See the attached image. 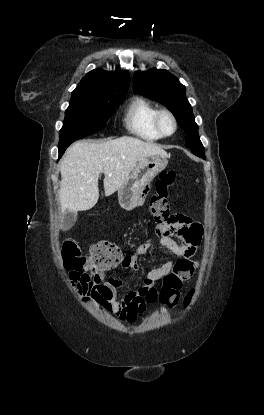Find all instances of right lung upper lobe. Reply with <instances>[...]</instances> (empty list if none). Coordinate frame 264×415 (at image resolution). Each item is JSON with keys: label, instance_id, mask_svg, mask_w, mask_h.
<instances>
[{"label": "right lung upper lobe", "instance_id": "cb5924a9", "mask_svg": "<svg viewBox=\"0 0 264 415\" xmlns=\"http://www.w3.org/2000/svg\"><path fill=\"white\" fill-rule=\"evenodd\" d=\"M130 84L128 71L108 72L94 69L82 78L71 98L126 95Z\"/></svg>", "mask_w": 264, "mask_h": 415}]
</instances>
